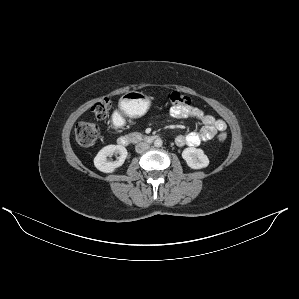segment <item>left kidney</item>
I'll use <instances>...</instances> for the list:
<instances>
[{
  "label": "left kidney",
  "instance_id": "obj_1",
  "mask_svg": "<svg viewBox=\"0 0 299 299\" xmlns=\"http://www.w3.org/2000/svg\"><path fill=\"white\" fill-rule=\"evenodd\" d=\"M182 158L192 169H202L209 165V159L202 149L189 147L183 150Z\"/></svg>",
  "mask_w": 299,
  "mask_h": 299
}]
</instances>
